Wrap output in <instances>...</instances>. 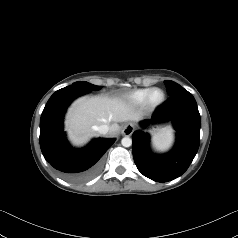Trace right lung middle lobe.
Listing matches in <instances>:
<instances>
[{
    "mask_svg": "<svg viewBox=\"0 0 238 238\" xmlns=\"http://www.w3.org/2000/svg\"><path fill=\"white\" fill-rule=\"evenodd\" d=\"M74 84L78 85L80 88L84 89L86 92H90L92 90H98L102 86H96L91 83L85 82V81H78Z\"/></svg>",
    "mask_w": 238,
    "mask_h": 238,
    "instance_id": "right-lung-middle-lobe-1",
    "label": "right lung middle lobe"
}]
</instances>
